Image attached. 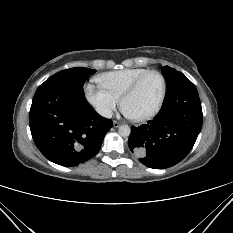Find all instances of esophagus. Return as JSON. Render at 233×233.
<instances>
[{
    "label": "esophagus",
    "mask_w": 233,
    "mask_h": 233,
    "mask_svg": "<svg viewBox=\"0 0 233 233\" xmlns=\"http://www.w3.org/2000/svg\"><path fill=\"white\" fill-rule=\"evenodd\" d=\"M120 126V123L118 121H113V127L117 128Z\"/></svg>",
    "instance_id": "obj_1"
}]
</instances>
